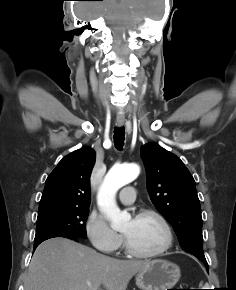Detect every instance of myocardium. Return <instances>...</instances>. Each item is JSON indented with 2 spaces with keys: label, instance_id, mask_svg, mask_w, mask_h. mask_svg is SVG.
<instances>
[{
  "label": "myocardium",
  "instance_id": "myocardium-1",
  "mask_svg": "<svg viewBox=\"0 0 236 290\" xmlns=\"http://www.w3.org/2000/svg\"><path fill=\"white\" fill-rule=\"evenodd\" d=\"M146 216H151V217L156 218L161 224V226L163 227L164 232H165L164 244L155 251L141 252L133 248L132 245L129 243L128 239L126 238V236H124V246L127 253H129L133 257L141 258V259H152V258H156L163 255L166 251L170 249V247L173 244V231L168 220L165 218V216L157 210L142 209L136 214L135 218H141V217H146Z\"/></svg>",
  "mask_w": 236,
  "mask_h": 290
}]
</instances>
